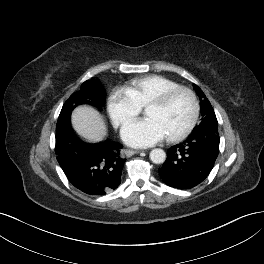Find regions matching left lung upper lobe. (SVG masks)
<instances>
[{
    "mask_svg": "<svg viewBox=\"0 0 264 264\" xmlns=\"http://www.w3.org/2000/svg\"><path fill=\"white\" fill-rule=\"evenodd\" d=\"M194 88L200 97V110H201V115L203 116V120L201 121V123L198 126H196L194 129L204 126H211V125L217 127L218 122L210 102L208 101V99H206L204 93L197 85H194Z\"/></svg>",
    "mask_w": 264,
    "mask_h": 264,
    "instance_id": "obj_1",
    "label": "left lung upper lobe"
}]
</instances>
